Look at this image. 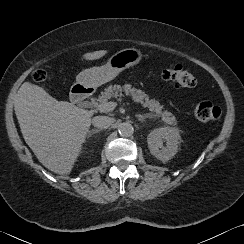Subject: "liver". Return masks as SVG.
<instances>
[{
	"mask_svg": "<svg viewBox=\"0 0 244 244\" xmlns=\"http://www.w3.org/2000/svg\"><path fill=\"white\" fill-rule=\"evenodd\" d=\"M106 50L85 53L88 61ZM23 138L39 162L56 174H70L91 125L93 112L58 101L30 82L20 87L14 103Z\"/></svg>",
	"mask_w": 244,
	"mask_h": 244,
	"instance_id": "obj_1",
	"label": "liver"
}]
</instances>
